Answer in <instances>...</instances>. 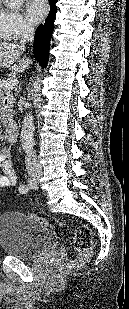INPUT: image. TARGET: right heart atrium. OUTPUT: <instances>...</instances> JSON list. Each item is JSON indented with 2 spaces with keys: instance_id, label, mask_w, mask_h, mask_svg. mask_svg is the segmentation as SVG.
I'll use <instances>...</instances> for the list:
<instances>
[{
  "instance_id": "1",
  "label": "right heart atrium",
  "mask_w": 129,
  "mask_h": 309,
  "mask_svg": "<svg viewBox=\"0 0 129 309\" xmlns=\"http://www.w3.org/2000/svg\"><path fill=\"white\" fill-rule=\"evenodd\" d=\"M32 31V24L20 10L0 9V33L6 40H19Z\"/></svg>"
}]
</instances>
